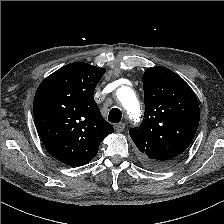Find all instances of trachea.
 I'll list each match as a JSON object with an SVG mask.
<instances>
[{"label":"trachea","mask_w":224,"mask_h":224,"mask_svg":"<svg viewBox=\"0 0 224 224\" xmlns=\"http://www.w3.org/2000/svg\"><path fill=\"white\" fill-rule=\"evenodd\" d=\"M122 118V113L118 108H113L110 110L109 115H108V120L111 123H119Z\"/></svg>","instance_id":"1"}]
</instances>
